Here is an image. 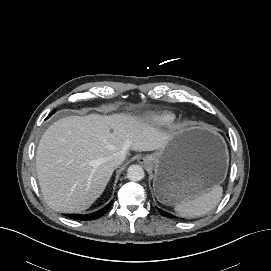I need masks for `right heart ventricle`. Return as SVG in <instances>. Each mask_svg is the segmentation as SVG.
Returning a JSON list of instances; mask_svg holds the SVG:
<instances>
[{"label":"right heart ventricle","instance_id":"1","mask_svg":"<svg viewBox=\"0 0 271 271\" xmlns=\"http://www.w3.org/2000/svg\"><path fill=\"white\" fill-rule=\"evenodd\" d=\"M175 121V115L172 113H163L161 115L151 117L148 122L155 126H168Z\"/></svg>","mask_w":271,"mask_h":271}]
</instances>
